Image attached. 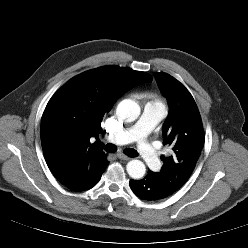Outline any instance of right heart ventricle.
Wrapping results in <instances>:
<instances>
[{"label": "right heart ventricle", "instance_id": "right-heart-ventricle-1", "mask_svg": "<svg viewBox=\"0 0 248 248\" xmlns=\"http://www.w3.org/2000/svg\"><path fill=\"white\" fill-rule=\"evenodd\" d=\"M152 103H158V104H161L160 101L156 98H154V100L152 101Z\"/></svg>", "mask_w": 248, "mask_h": 248}]
</instances>
